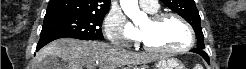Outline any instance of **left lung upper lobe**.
<instances>
[{
    "label": "left lung upper lobe",
    "mask_w": 246,
    "mask_h": 69,
    "mask_svg": "<svg viewBox=\"0 0 246 69\" xmlns=\"http://www.w3.org/2000/svg\"><path fill=\"white\" fill-rule=\"evenodd\" d=\"M168 8L183 17L194 29L197 37V49L203 50L204 35L201 28V18L194 0H161Z\"/></svg>",
    "instance_id": "left-lung-upper-lobe-1"
}]
</instances>
